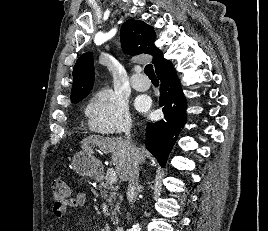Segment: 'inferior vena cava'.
I'll list each match as a JSON object with an SVG mask.
<instances>
[{"label":"inferior vena cava","mask_w":268,"mask_h":231,"mask_svg":"<svg viewBox=\"0 0 268 231\" xmlns=\"http://www.w3.org/2000/svg\"><path fill=\"white\" fill-rule=\"evenodd\" d=\"M127 140L129 143L131 142V135L129 131L126 132ZM131 147V154H132V166L127 173L126 180L128 181V195L131 196V202L135 201L137 197V187L139 183V163L141 161V156L139 150L135 146Z\"/></svg>","instance_id":"obj_1"}]
</instances>
